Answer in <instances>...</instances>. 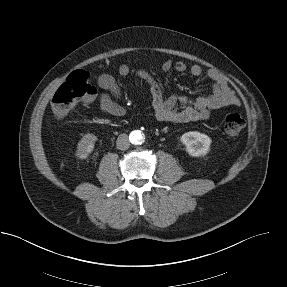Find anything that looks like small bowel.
Here are the masks:
<instances>
[{
    "instance_id": "c3829d8e",
    "label": "small bowel",
    "mask_w": 287,
    "mask_h": 287,
    "mask_svg": "<svg viewBox=\"0 0 287 287\" xmlns=\"http://www.w3.org/2000/svg\"><path fill=\"white\" fill-rule=\"evenodd\" d=\"M163 71L176 70L189 72L196 77L204 75L212 84V94L201 95L196 98L172 94L164 97L160 83L146 70H138L136 76L144 80L150 89L152 106L158 121L168 123H187L206 120L212 111L239 106L240 100L229 87L225 77L214 69L204 71L199 65L188 66L182 61L165 60L162 63ZM131 72L128 65L119 67L118 73L126 77ZM99 87L103 90L100 95V109L103 113L120 117L125 114L124 107L117 102L120 96V88L115 78L110 74H100L97 78Z\"/></svg>"
}]
</instances>
